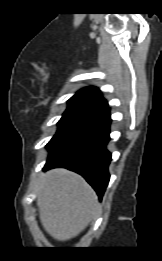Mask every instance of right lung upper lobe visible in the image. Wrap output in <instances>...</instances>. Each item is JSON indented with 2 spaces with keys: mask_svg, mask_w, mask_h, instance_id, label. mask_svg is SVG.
<instances>
[{
  "mask_svg": "<svg viewBox=\"0 0 162 261\" xmlns=\"http://www.w3.org/2000/svg\"><path fill=\"white\" fill-rule=\"evenodd\" d=\"M76 95L85 97V98H88V99H91L94 101H98L103 105L104 108L108 106L107 101L102 97V95L100 94V90L96 87L84 88V89L80 90L79 92H77Z\"/></svg>",
  "mask_w": 162,
  "mask_h": 261,
  "instance_id": "1",
  "label": "right lung upper lobe"
}]
</instances>
